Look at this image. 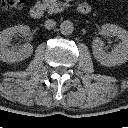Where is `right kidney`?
Segmentation results:
<instances>
[{
	"instance_id": "ca27d5eb",
	"label": "right kidney",
	"mask_w": 128,
	"mask_h": 128,
	"mask_svg": "<svg viewBox=\"0 0 128 128\" xmlns=\"http://www.w3.org/2000/svg\"><path fill=\"white\" fill-rule=\"evenodd\" d=\"M30 27L27 25H16L4 29L0 32V59L4 62H18L27 59L33 52V46L25 43L19 47H14L11 40L16 35L23 37L29 35Z\"/></svg>"
}]
</instances>
